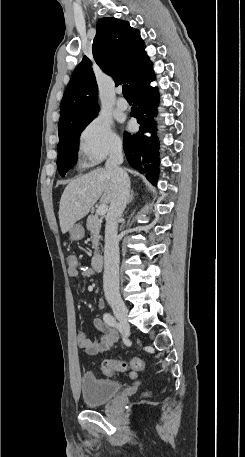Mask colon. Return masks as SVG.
I'll return each instance as SVG.
<instances>
[{
  "instance_id": "colon-1",
  "label": "colon",
  "mask_w": 245,
  "mask_h": 457,
  "mask_svg": "<svg viewBox=\"0 0 245 457\" xmlns=\"http://www.w3.org/2000/svg\"><path fill=\"white\" fill-rule=\"evenodd\" d=\"M68 266L71 269H77L78 260L74 255H69L67 258ZM143 361L138 357H132L125 361L104 360L102 363V372L106 376H115L130 370V376L134 378L136 372L143 368Z\"/></svg>"
}]
</instances>
